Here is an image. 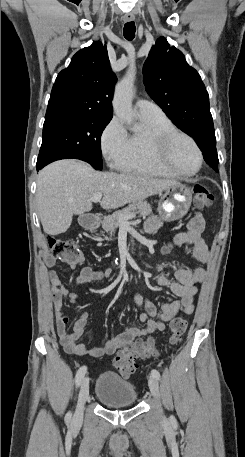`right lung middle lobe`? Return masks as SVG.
<instances>
[{
	"label": "right lung middle lobe",
	"instance_id": "1",
	"mask_svg": "<svg viewBox=\"0 0 245 457\" xmlns=\"http://www.w3.org/2000/svg\"><path fill=\"white\" fill-rule=\"evenodd\" d=\"M111 118L92 112L46 113L37 170L65 158L81 159L101 170L100 137Z\"/></svg>",
	"mask_w": 245,
	"mask_h": 457
}]
</instances>
